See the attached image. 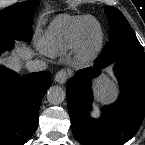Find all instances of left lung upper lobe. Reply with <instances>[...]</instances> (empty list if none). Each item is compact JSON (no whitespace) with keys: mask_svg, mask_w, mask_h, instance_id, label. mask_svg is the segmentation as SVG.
Masks as SVG:
<instances>
[{"mask_svg":"<svg viewBox=\"0 0 145 145\" xmlns=\"http://www.w3.org/2000/svg\"><path fill=\"white\" fill-rule=\"evenodd\" d=\"M105 13L111 29L103 56L112 61L125 59L145 62L143 48L124 15L112 6H105Z\"/></svg>","mask_w":145,"mask_h":145,"instance_id":"left-lung-upper-lobe-1","label":"left lung upper lobe"}]
</instances>
